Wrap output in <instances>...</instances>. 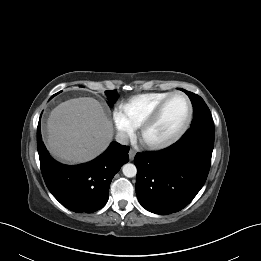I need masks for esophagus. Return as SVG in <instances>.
<instances>
[{"label":"esophagus","mask_w":261,"mask_h":261,"mask_svg":"<svg viewBox=\"0 0 261 261\" xmlns=\"http://www.w3.org/2000/svg\"><path fill=\"white\" fill-rule=\"evenodd\" d=\"M128 154H129L130 160H133L135 157L136 151L133 149H130Z\"/></svg>","instance_id":"esophagus-1"}]
</instances>
